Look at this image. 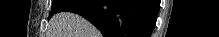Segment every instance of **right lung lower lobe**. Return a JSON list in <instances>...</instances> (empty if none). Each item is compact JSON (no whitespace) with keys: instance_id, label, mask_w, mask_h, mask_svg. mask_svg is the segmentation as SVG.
Here are the masks:
<instances>
[{"instance_id":"right-lung-lower-lobe-1","label":"right lung lower lobe","mask_w":219,"mask_h":37,"mask_svg":"<svg viewBox=\"0 0 219 37\" xmlns=\"http://www.w3.org/2000/svg\"><path fill=\"white\" fill-rule=\"evenodd\" d=\"M158 10L157 0H71L58 12L83 16L104 37H150Z\"/></svg>"}]
</instances>
